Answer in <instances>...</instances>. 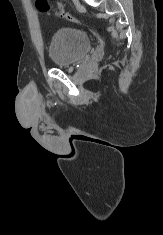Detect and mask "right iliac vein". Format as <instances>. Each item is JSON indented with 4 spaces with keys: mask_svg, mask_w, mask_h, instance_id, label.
<instances>
[{
    "mask_svg": "<svg viewBox=\"0 0 163 235\" xmlns=\"http://www.w3.org/2000/svg\"><path fill=\"white\" fill-rule=\"evenodd\" d=\"M74 2H75L76 4H78V3H79V0H74Z\"/></svg>",
    "mask_w": 163,
    "mask_h": 235,
    "instance_id": "63e3f726",
    "label": "right iliac vein"
}]
</instances>
